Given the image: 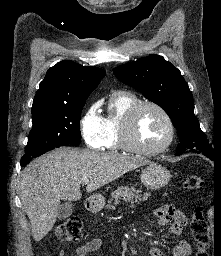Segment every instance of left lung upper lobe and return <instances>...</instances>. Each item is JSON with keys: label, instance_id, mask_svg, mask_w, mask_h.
Masks as SVG:
<instances>
[{"label": "left lung upper lobe", "instance_id": "left-lung-upper-lobe-1", "mask_svg": "<svg viewBox=\"0 0 221 256\" xmlns=\"http://www.w3.org/2000/svg\"><path fill=\"white\" fill-rule=\"evenodd\" d=\"M113 73L166 111L180 138L178 151L189 149L214 154L194 115L192 93L179 69L162 56L150 54L116 67Z\"/></svg>", "mask_w": 221, "mask_h": 256}]
</instances>
